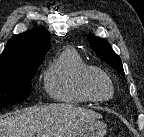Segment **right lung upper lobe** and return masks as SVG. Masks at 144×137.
I'll use <instances>...</instances> for the list:
<instances>
[{"label":"right lung upper lobe","mask_w":144,"mask_h":137,"mask_svg":"<svg viewBox=\"0 0 144 137\" xmlns=\"http://www.w3.org/2000/svg\"><path fill=\"white\" fill-rule=\"evenodd\" d=\"M50 35L44 29L34 28L11 38L0 55V65L42 61L50 49Z\"/></svg>","instance_id":"right-lung-upper-lobe-1"}]
</instances>
